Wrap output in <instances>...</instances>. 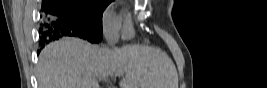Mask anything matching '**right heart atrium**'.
Wrapping results in <instances>:
<instances>
[{"mask_svg": "<svg viewBox=\"0 0 267 88\" xmlns=\"http://www.w3.org/2000/svg\"><path fill=\"white\" fill-rule=\"evenodd\" d=\"M102 27L106 39L115 42L119 34V18L114 14L113 8L108 7L102 15Z\"/></svg>", "mask_w": 267, "mask_h": 88, "instance_id": "1", "label": "right heart atrium"}]
</instances>
